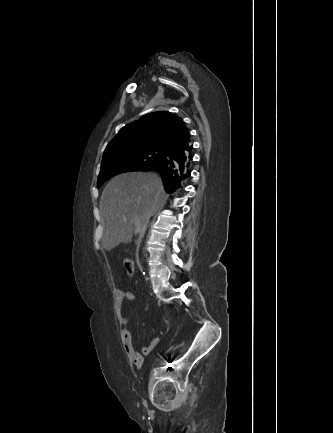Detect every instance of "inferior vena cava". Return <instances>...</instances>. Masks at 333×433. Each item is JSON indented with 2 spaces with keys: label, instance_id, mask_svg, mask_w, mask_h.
<instances>
[{
  "label": "inferior vena cava",
  "instance_id": "inferior-vena-cava-1",
  "mask_svg": "<svg viewBox=\"0 0 333 433\" xmlns=\"http://www.w3.org/2000/svg\"><path fill=\"white\" fill-rule=\"evenodd\" d=\"M149 218H150L149 216L146 218V220H145V222H144V224H143V226H142L141 234H140L141 237L144 236V233H145L146 228H147V224H148V222H149Z\"/></svg>",
  "mask_w": 333,
  "mask_h": 433
}]
</instances>
